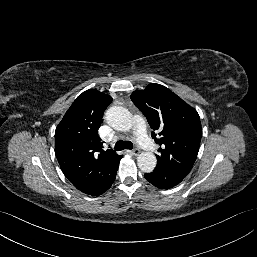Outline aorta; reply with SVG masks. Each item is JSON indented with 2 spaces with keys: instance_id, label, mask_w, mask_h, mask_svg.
I'll use <instances>...</instances> for the list:
<instances>
[{
  "instance_id": "obj_1",
  "label": "aorta",
  "mask_w": 257,
  "mask_h": 257,
  "mask_svg": "<svg viewBox=\"0 0 257 257\" xmlns=\"http://www.w3.org/2000/svg\"><path fill=\"white\" fill-rule=\"evenodd\" d=\"M106 122L115 130L129 131L132 128L131 113L124 107H110L105 114ZM157 164L156 156L151 152H142L137 157V165L141 171L149 173Z\"/></svg>"
}]
</instances>
